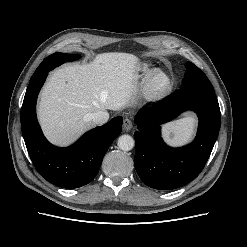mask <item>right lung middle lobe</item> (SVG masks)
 Masks as SVG:
<instances>
[{
  "mask_svg": "<svg viewBox=\"0 0 247 247\" xmlns=\"http://www.w3.org/2000/svg\"><path fill=\"white\" fill-rule=\"evenodd\" d=\"M81 55L79 54H65V53H54L43 60L39 67L34 72L31 79L41 75L45 71H50L55 67L60 66L61 64L68 61H75L79 59Z\"/></svg>",
  "mask_w": 247,
  "mask_h": 247,
  "instance_id": "obj_1",
  "label": "right lung middle lobe"
}]
</instances>
